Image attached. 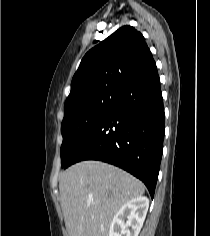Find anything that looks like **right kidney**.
<instances>
[{
	"label": "right kidney",
	"mask_w": 210,
	"mask_h": 236,
	"mask_svg": "<svg viewBox=\"0 0 210 236\" xmlns=\"http://www.w3.org/2000/svg\"><path fill=\"white\" fill-rule=\"evenodd\" d=\"M148 208L147 197L140 196L128 201L113 217L109 236H138Z\"/></svg>",
	"instance_id": "ca27d5eb"
}]
</instances>
